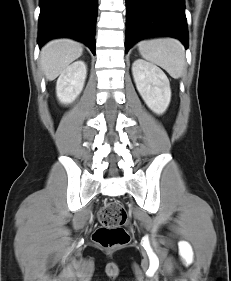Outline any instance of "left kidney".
Segmentation results:
<instances>
[{
	"label": "left kidney",
	"instance_id": "1",
	"mask_svg": "<svg viewBox=\"0 0 231 281\" xmlns=\"http://www.w3.org/2000/svg\"><path fill=\"white\" fill-rule=\"evenodd\" d=\"M132 73L138 92L146 105L156 114H163L171 100L170 83L156 65L138 59L132 64Z\"/></svg>",
	"mask_w": 231,
	"mask_h": 281
}]
</instances>
